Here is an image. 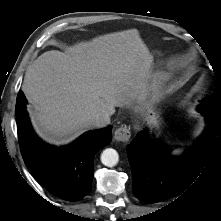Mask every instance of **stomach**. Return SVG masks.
<instances>
[{
	"label": "stomach",
	"mask_w": 221,
	"mask_h": 221,
	"mask_svg": "<svg viewBox=\"0 0 221 221\" xmlns=\"http://www.w3.org/2000/svg\"><path fill=\"white\" fill-rule=\"evenodd\" d=\"M143 117L147 119L149 127L159 129L162 124V119L157 109L149 104L143 112Z\"/></svg>",
	"instance_id": "0dacf381"
}]
</instances>
